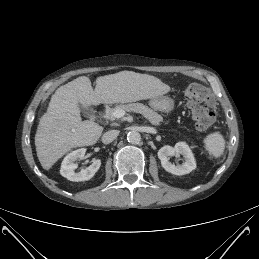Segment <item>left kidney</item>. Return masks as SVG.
Returning <instances> with one entry per match:
<instances>
[{"instance_id":"left-kidney-1","label":"left kidney","mask_w":259,"mask_h":259,"mask_svg":"<svg viewBox=\"0 0 259 259\" xmlns=\"http://www.w3.org/2000/svg\"><path fill=\"white\" fill-rule=\"evenodd\" d=\"M183 155L185 162L181 165L172 164L169 161V156ZM158 158L161 161L162 167L174 175H184L190 173L196 168V162L193 153L185 142H178L174 147L169 145L163 146L158 151Z\"/></svg>"}]
</instances>
